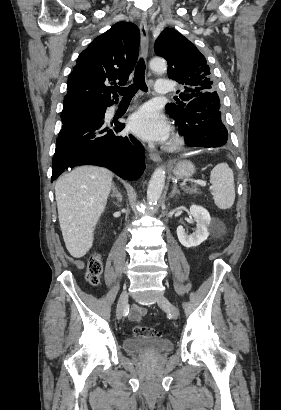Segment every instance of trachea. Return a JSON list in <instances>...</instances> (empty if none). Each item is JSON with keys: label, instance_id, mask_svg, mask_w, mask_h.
<instances>
[{"label": "trachea", "instance_id": "obj_1", "mask_svg": "<svg viewBox=\"0 0 281 410\" xmlns=\"http://www.w3.org/2000/svg\"><path fill=\"white\" fill-rule=\"evenodd\" d=\"M147 92L148 88L145 83V63L140 59L134 74L133 84L126 88L116 87L115 90L123 97V99H131L138 90Z\"/></svg>", "mask_w": 281, "mask_h": 410}]
</instances>
